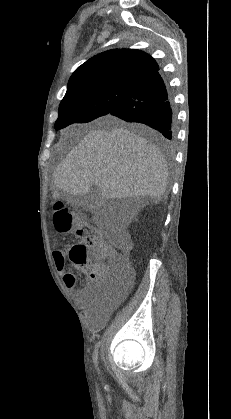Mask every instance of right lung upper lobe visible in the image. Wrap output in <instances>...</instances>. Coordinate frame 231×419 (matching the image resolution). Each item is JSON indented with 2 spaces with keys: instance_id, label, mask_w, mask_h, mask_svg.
Listing matches in <instances>:
<instances>
[{
  "instance_id": "right-lung-upper-lobe-1",
  "label": "right lung upper lobe",
  "mask_w": 231,
  "mask_h": 419,
  "mask_svg": "<svg viewBox=\"0 0 231 419\" xmlns=\"http://www.w3.org/2000/svg\"><path fill=\"white\" fill-rule=\"evenodd\" d=\"M159 69L147 53L136 49H113L90 58L69 79L68 94L82 88L104 85L134 86L141 78Z\"/></svg>"
}]
</instances>
